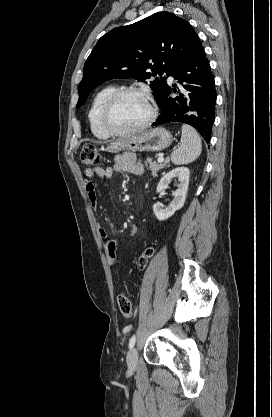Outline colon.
I'll return each mask as SVG.
<instances>
[{
  "mask_svg": "<svg viewBox=\"0 0 272 417\" xmlns=\"http://www.w3.org/2000/svg\"><path fill=\"white\" fill-rule=\"evenodd\" d=\"M81 162L85 165L95 166L101 162V156L98 149L90 143L85 144L80 153ZM116 249L117 242L111 240L106 245L108 259L113 263V267H116ZM155 249L153 247L147 248L139 258V266L141 269H145L149 259L154 255ZM117 303L120 312L126 318H130L133 315L132 304L127 292H121L117 296Z\"/></svg>",
  "mask_w": 272,
  "mask_h": 417,
  "instance_id": "obj_1",
  "label": "colon"
}]
</instances>
